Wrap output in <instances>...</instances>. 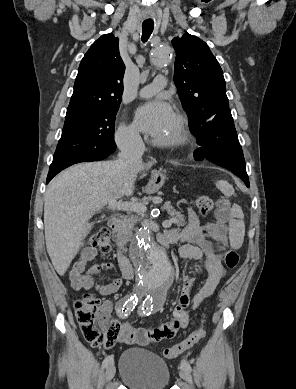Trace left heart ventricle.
Returning a JSON list of instances; mask_svg holds the SVG:
<instances>
[{
    "instance_id": "1",
    "label": "left heart ventricle",
    "mask_w": 296,
    "mask_h": 389,
    "mask_svg": "<svg viewBox=\"0 0 296 389\" xmlns=\"http://www.w3.org/2000/svg\"><path fill=\"white\" fill-rule=\"evenodd\" d=\"M175 129V120L173 119L172 123L169 125V127L160 135L158 138H168L172 136Z\"/></svg>"
}]
</instances>
